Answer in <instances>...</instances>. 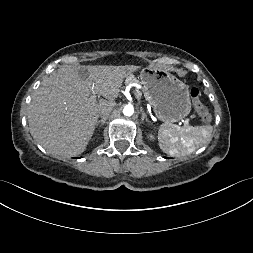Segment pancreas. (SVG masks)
Here are the masks:
<instances>
[{"instance_id": "obj_1", "label": "pancreas", "mask_w": 253, "mask_h": 253, "mask_svg": "<svg viewBox=\"0 0 253 253\" xmlns=\"http://www.w3.org/2000/svg\"><path fill=\"white\" fill-rule=\"evenodd\" d=\"M134 81L135 80L129 78V79L126 80V84L132 83ZM136 92H137L138 95L140 94V92L138 90H136Z\"/></svg>"}]
</instances>
